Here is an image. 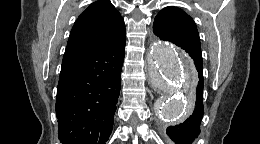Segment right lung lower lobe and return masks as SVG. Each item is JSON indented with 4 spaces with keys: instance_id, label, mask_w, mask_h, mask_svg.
<instances>
[{
    "instance_id": "obj_1",
    "label": "right lung lower lobe",
    "mask_w": 260,
    "mask_h": 144,
    "mask_svg": "<svg viewBox=\"0 0 260 144\" xmlns=\"http://www.w3.org/2000/svg\"><path fill=\"white\" fill-rule=\"evenodd\" d=\"M125 43L64 56L56 100L58 138L64 144H105L120 94Z\"/></svg>"
}]
</instances>
